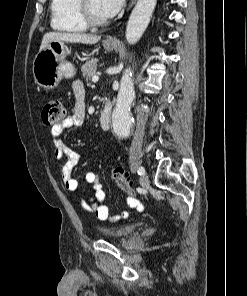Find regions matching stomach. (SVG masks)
I'll return each mask as SVG.
<instances>
[{"label": "stomach", "instance_id": "obj_1", "mask_svg": "<svg viewBox=\"0 0 247 296\" xmlns=\"http://www.w3.org/2000/svg\"><path fill=\"white\" fill-rule=\"evenodd\" d=\"M103 47L111 51L115 45L104 41ZM66 56L67 47L61 41H52L39 51L33 61L32 69L35 83L46 90H53L64 77H73L75 68L67 61Z\"/></svg>", "mask_w": 247, "mask_h": 296}]
</instances>
